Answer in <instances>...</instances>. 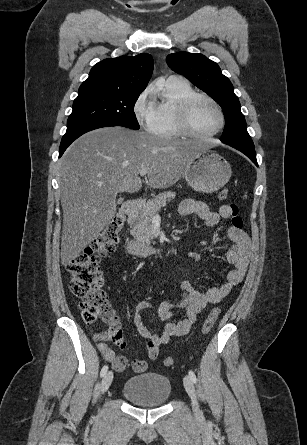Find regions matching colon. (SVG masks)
Listing matches in <instances>:
<instances>
[{
  "label": "colon",
  "mask_w": 307,
  "mask_h": 445,
  "mask_svg": "<svg viewBox=\"0 0 307 445\" xmlns=\"http://www.w3.org/2000/svg\"><path fill=\"white\" fill-rule=\"evenodd\" d=\"M229 191L220 190L218 198L225 200ZM232 213L231 224L237 229L243 228V220L239 216L238 206L230 204ZM125 223L122 214H117L108 225L97 235L91 245L67 264L70 273V290L81 299L80 310L86 323L101 319L110 324L108 339L117 346L124 343L119 318L108 302L107 295L101 289L104 277L100 269L101 259L111 254L118 243L120 232ZM220 314V308L214 307L202 325V334H208L214 327ZM174 363L172 357L164 359V365L169 367Z\"/></svg>",
  "instance_id": "1"
}]
</instances>
